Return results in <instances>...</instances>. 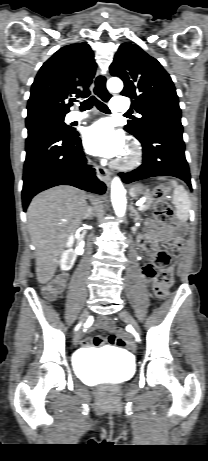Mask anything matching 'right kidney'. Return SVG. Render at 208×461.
I'll use <instances>...</instances> for the list:
<instances>
[{"label":"right kidney","mask_w":208,"mask_h":461,"mask_svg":"<svg viewBox=\"0 0 208 461\" xmlns=\"http://www.w3.org/2000/svg\"><path fill=\"white\" fill-rule=\"evenodd\" d=\"M74 244V236L71 235L68 238V241L66 243L67 250H65L62 255H61V260H60V267L61 270L63 271H68L70 270L76 260L77 255H82L84 252V245L80 244L78 247H76L75 250L72 249V246Z\"/></svg>","instance_id":"right-kidney-1"}]
</instances>
